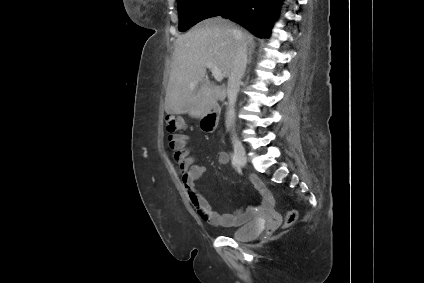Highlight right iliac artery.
Returning a JSON list of instances; mask_svg holds the SVG:
<instances>
[{"label":"right iliac artery","mask_w":424,"mask_h":283,"mask_svg":"<svg viewBox=\"0 0 424 283\" xmlns=\"http://www.w3.org/2000/svg\"><path fill=\"white\" fill-rule=\"evenodd\" d=\"M231 162H232L233 167H236L238 165V161H237L235 154H232Z\"/></svg>","instance_id":"obj_1"}]
</instances>
